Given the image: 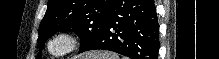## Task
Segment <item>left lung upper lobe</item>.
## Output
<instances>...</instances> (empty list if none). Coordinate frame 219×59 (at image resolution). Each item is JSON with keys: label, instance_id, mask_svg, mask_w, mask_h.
Segmentation results:
<instances>
[{"label": "left lung upper lobe", "instance_id": "obj_1", "mask_svg": "<svg viewBox=\"0 0 219 59\" xmlns=\"http://www.w3.org/2000/svg\"><path fill=\"white\" fill-rule=\"evenodd\" d=\"M114 0H49L47 11L39 26L40 58L45 41L58 31L73 28L81 39L80 50L99 34Z\"/></svg>", "mask_w": 219, "mask_h": 59}]
</instances>
